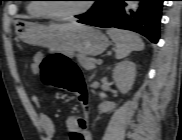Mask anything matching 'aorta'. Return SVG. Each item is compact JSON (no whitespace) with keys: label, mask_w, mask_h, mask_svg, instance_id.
<instances>
[{"label":"aorta","mask_w":182,"mask_h":140,"mask_svg":"<svg viewBox=\"0 0 182 140\" xmlns=\"http://www.w3.org/2000/svg\"><path fill=\"white\" fill-rule=\"evenodd\" d=\"M139 6V2L138 1H129L127 2V10L131 9V10H137Z\"/></svg>","instance_id":"aorta-1"}]
</instances>
